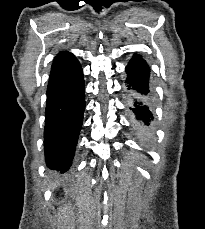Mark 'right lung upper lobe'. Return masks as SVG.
Listing matches in <instances>:
<instances>
[{
    "instance_id": "obj_1",
    "label": "right lung upper lobe",
    "mask_w": 205,
    "mask_h": 229,
    "mask_svg": "<svg viewBox=\"0 0 205 229\" xmlns=\"http://www.w3.org/2000/svg\"><path fill=\"white\" fill-rule=\"evenodd\" d=\"M63 54L67 55V56H71V58L76 59L75 56L69 52H63Z\"/></svg>"
}]
</instances>
